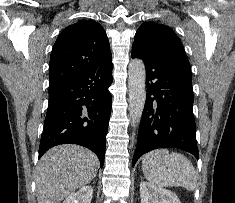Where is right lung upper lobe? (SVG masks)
<instances>
[{
    "label": "right lung upper lobe",
    "instance_id": "1",
    "mask_svg": "<svg viewBox=\"0 0 235 203\" xmlns=\"http://www.w3.org/2000/svg\"><path fill=\"white\" fill-rule=\"evenodd\" d=\"M112 59L107 35L91 20L68 26L58 36L50 57L49 88L64 84Z\"/></svg>",
    "mask_w": 235,
    "mask_h": 203
}]
</instances>
